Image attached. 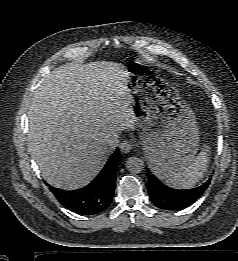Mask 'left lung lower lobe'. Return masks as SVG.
Instances as JSON below:
<instances>
[{"instance_id": "0a47b994", "label": "left lung lower lobe", "mask_w": 238, "mask_h": 261, "mask_svg": "<svg viewBox=\"0 0 238 261\" xmlns=\"http://www.w3.org/2000/svg\"><path fill=\"white\" fill-rule=\"evenodd\" d=\"M210 179L203 185L188 190H177L164 185L153 174L148 176L147 189L152 202L161 209L181 210L193 204L207 189Z\"/></svg>"}]
</instances>
